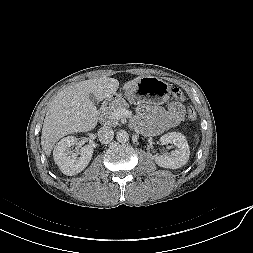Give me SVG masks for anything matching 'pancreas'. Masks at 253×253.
<instances>
[{"label":"pancreas","instance_id":"obj_1","mask_svg":"<svg viewBox=\"0 0 253 253\" xmlns=\"http://www.w3.org/2000/svg\"><path fill=\"white\" fill-rule=\"evenodd\" d=\"M128 108H129V104L126 102V100L122 99V100L116 101L115 103L111 104L110 106L102 110L101 115L106 124L110 126H116L118 125V120L120 118H114L113 114L117 110L128 109Z\"/></svg>","mask_w":253,"mask_h":253}]
</instances>
